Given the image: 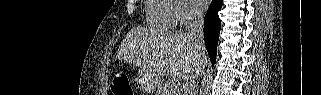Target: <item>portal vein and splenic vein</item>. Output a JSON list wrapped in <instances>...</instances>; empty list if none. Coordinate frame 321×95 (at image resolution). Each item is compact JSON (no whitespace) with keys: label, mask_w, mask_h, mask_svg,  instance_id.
Segmentation results:
<instances>
[{"label":"portal vein and splenic vein","mask_w":321,"mask_h":95,"mask_svg":"<svg viewBox=\"0 0 321 95\" xmlns=\"http://www.w3.org/2000/svg\"><path fill=\"white\" fill-rule=\"evenodd\" d=\"M169 84L171 85L172 88H178L179 87V83L176 79H173L169 82Z\"/></svg>","instance_id":"obj_1"}]
</instances>
